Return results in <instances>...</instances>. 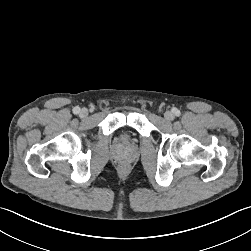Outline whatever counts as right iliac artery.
<instances>
[{
    "label": "right iliac artery",
    "mask_w": 251,
    "mask_h": 251,
    "mask_svg": "<svg viewBox=\"0 0 251 251\" xmlns=\"http://www.w3.org/2000/svg\"><path fill=\"white\" fill-rule=\"evenodd\" d=\"M79 112H80V108L79 107H74L73 113L78 114Z\"/></svg>",
    "instance_id": "obj_1"
}]
</instances>
